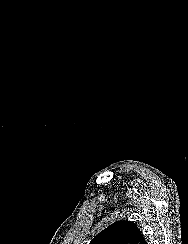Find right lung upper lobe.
Wrapping results in <instances>:
<instances>
[{"instance_id": "obj_1", "label": "right lung upper lobe", "mask_w": 188, "mask_h": 244, "mask_svg": "<svg viewBox=\"0 0 188 244\" xmlns=\"http://www.w3.org/2000/svg\"><path fill=\"white\" fill-rule=\"evenodd\" d=\"M89 244H147L136 224L117 221L94 237Z\"/></svg>"}]
</instances>
